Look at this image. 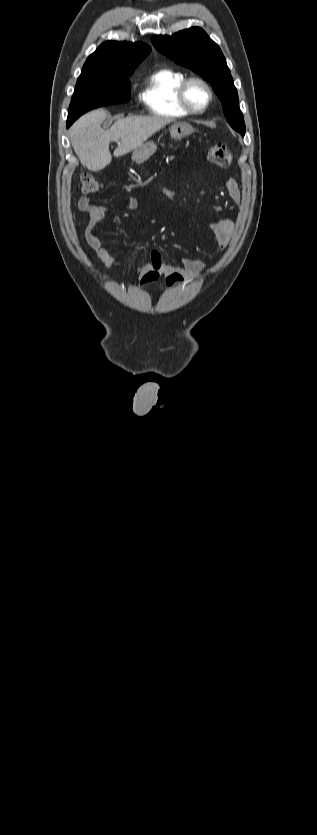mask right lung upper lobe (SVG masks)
<instances>
[{
  "instance_id": "cb5924a9",
  "label": "right lung upper lobe",
  "mask_w": 317,
  "mask_h": 835,
  "mask_svg": "<svg viewBox=\"0 0 317 835\" xmlns=\"http://www.w3.org/2000/svg\"><path fill=\"white\" fill-rule=\"evenodd\" d=\"M150 51L151 48L141 42L107 41L87 58L81 73L135 69Z\"/></svg>"
}]
</instances>
